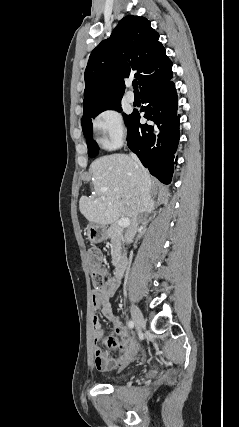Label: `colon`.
I'll return each mask as SVG.
<instances>
[{
  "mask_svg": "<svg viewBox=\"0 0 239 427\" xmlns=\"http://www.w3.org/2000/svg\"><path fill=\"white\" fill-rule=\"evenodd\" d=\"M87 263L94 287H101L108 276V269L103 263V256L98 247L91 246L87 249Z\"/></svg>",
  "mask_w": 239,
  "mask_h": 427,
  "instance_id": "colon-1",
  "label": "colon"
}]
</instances>
